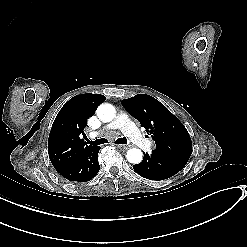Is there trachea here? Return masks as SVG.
Listing matches in <instances>:
<instances>
[{
  "instance_id": "3493384b",
  "label": "trachea",
  "mask_w": 247,
  "mask_h": 247,
  "mask_svg": "<svg viewBox=\"0 0 247 247\" xmlns=\"http://www.w3.org/2000/svg\"><path fill=\"white\" fill-rule=\"evenodd\" d=\"M87 143L90 144V145H93V146H98V145H101V144H105V143H108V140L105 139V138H101V139H97L95 141H89L87 140ZM116 144H121V145H124V144H127L128 143V139L125 138V137H122V138H119L115 141Z\"/></svg>"
}]
</instances>
